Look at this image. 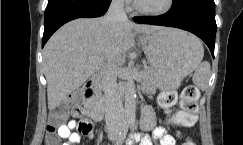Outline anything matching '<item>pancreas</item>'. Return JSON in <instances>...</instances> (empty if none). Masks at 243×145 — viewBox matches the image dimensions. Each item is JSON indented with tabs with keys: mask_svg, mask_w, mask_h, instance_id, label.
Returning <instances> with one entry per match:
<instances>
[{
	"mask_svg": "<svg viewBox=\"0 0 243 145\" xmlns=\"http://www.w3.org/2000/svg\"><path fill=\"white\" fill-rule=\"evenodd\" d=\"M142 78L144 81V87L152 89L155 86L156 75L152 70L145 69L142 71Z\"/></svg>",
	"mask_w": 243,
	"mask_h": 145,
	"instance_id": "1",
	"label": "pancreas"
}]
</instances>
